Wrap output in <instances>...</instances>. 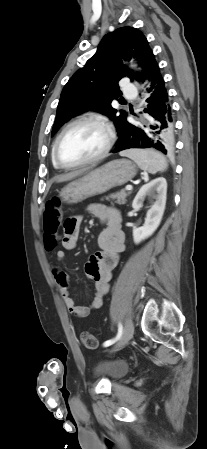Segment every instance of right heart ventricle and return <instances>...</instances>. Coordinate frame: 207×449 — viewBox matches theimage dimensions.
I'll return each mask as SVG.
<instances>
[{
    "mask_svg": "<svg viewBox=\"0 0 207 449\" xmlns=\"http://www.w3.org/2000/svg\"><path fill=\"white\" fill-rule=\"evenodd\" d=\"M51 157H52V163H53V166L55 167V168H60L58 165H57V163L55 162V160H54V157H53V148H52V155H51Z\"/></svg>",
    "mask_w": 207,
    "mask_h": 449,
    "instance_id": "e07e8e85",
    "label": "right heart ventricle"
}]
</instances>
